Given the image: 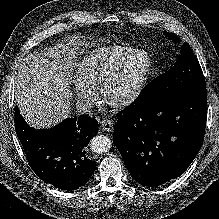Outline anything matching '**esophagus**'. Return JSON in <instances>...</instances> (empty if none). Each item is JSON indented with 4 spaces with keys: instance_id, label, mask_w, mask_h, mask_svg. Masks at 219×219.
Returning a JSON list of instances; mask_svg holds the SVG:
<instances>
[{
    "instance_id": "34e87169",
    "label": "esophagus",
    "mask_w": 219,
    "mask_h": 219,
    "mask_svg": "<svg viewBox=\"0 0 219 219\" xmlns=\"http://www.w3.org/2000/svg\"><path fill=\"white\" fill-rule=\"evenodd\" d=\"M100 127L102 131H111L113 129V122L111 120H100Z\"/></svg>"
}]
</instances>
